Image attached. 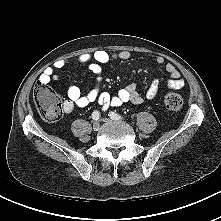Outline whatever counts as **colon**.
Wrapping results in <instances>:
<instances>
[{
  "label": "colon",
  "instance_id": "obj_1",
  "mask_svg": "<svg viewBox=\"0 0 221 221\" xmlns=\"http://www.w3.org/2000/svg\"><path fill=\"white\" fill-rule=\"evenodd\" d=\"M33 100L38 112L46 120L56 121L61 118L64 107L48 83L37 82L33 89ZM164 104L168 110L179 111L183 99L179 94L169 92L164 96Z\"/></svg>",
  "mask_w": 221,
  "mask_h": 221
}]
</instances>
